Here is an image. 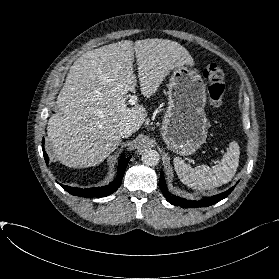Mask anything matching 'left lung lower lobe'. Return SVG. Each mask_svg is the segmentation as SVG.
Listing matches in <instances>:
<instances>
[{"label":"left lung lower lobe","instance_id":"obj_1","mask_svg":"<svg viewBox=\"0 0 279 279\" xmlns=\"http://www.w3.org/2000/svg\"><path fill=\"white\" fill-rule=\"evenodd\" d=\"M159 185H160V189H161L164 197L167 199V201L175 206H180L182 208H195V207L211 206V205L216 204L217 202L221 201L222 199L226 198L234 189V187H232L229 190H227L221 194H218V195H215L212 197L203 198L199 201H191V200H187V199H184V198H181L178 196H174L168 191L162 171L160 173Z\"/></svg>","mask_w":279,"mask_h":279}]
</instances>
